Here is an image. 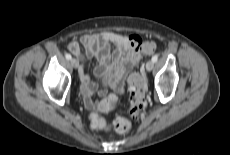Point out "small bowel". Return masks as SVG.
I'll list each match as a JSON object with an SVG mask.
<instances>
[{
    "mask_svg": "<svg viewBox=\"0 0 230 155\" xmlns=\"http://www.w3.org/2000/svg\"><path fill=\"white\" fill-rule=\"evenodd\" d=\"M140 38L115 32H100L83 35L79 40L69 44L70 52L77 57L79 62V75L82 83V94L87 108L96 109L101 112H109L112 107L109 100L116 99L115 94L103 98L99 102L93 100L96 92L94 84L89 75L83 71L85 63L82 47L89 58L97 60L98 65L94 69V75L101 79L105 86L110 87L117 93L124 91V77L137 65L143 52L138 46ZM114 50L111 52V47ZM105 91H100L104 95Z\"/></svg>",
    "mask_w": 230,
    "mask_h": 155,
    "instance_id": "c3829d8e",
    "label": "small bowel"
}]
</instances>
